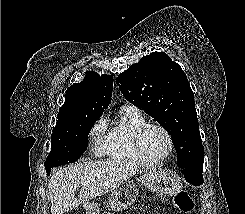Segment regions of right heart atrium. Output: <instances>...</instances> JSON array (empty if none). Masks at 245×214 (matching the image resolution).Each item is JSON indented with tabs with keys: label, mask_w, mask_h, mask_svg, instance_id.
<instances>
[{
	"label": "right heart atrium",
	"mask_w": 245,
	"mask_h": 214,
	"mask_svg": "<svg viewBox=\"0 0 245 214\" xmlns=\"http://www.w3.org/2000/svg\"><path fill=\"white\" fill-rule=\"evenodd\" d=\"M106 130V119L103 117L98 119L90 130L91 149L95 155L99 156L104 152L103 143Z\"/></svg>",
	"instance_id": "1"
}]
</instances>
